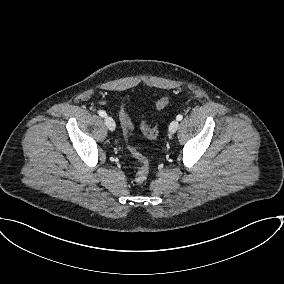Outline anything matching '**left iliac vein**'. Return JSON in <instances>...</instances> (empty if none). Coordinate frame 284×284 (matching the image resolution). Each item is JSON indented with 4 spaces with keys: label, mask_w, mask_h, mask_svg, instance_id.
I'll use <instances>...</instances> for the list:
<instances>
[{
    "label": "left iliac vein",
    "mask_w": 284,
    "mask_h": 284,
    "mask_svg": "<svg viewBox=\"0 0 284 284\" xmlns=\"http://www.w3.org/2000/svg\"><path fill=\"white\" fill-rule=\"evenodd\" d=\"M178 127H179L178 120H173L169 125V133L174 134L177 131Z\"/></svg>",
    "instance_id": "1"
}]
</instances>
